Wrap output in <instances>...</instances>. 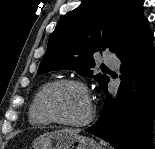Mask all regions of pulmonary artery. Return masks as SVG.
Instances as JSON below:
<instances>
[{
	"mask_svg": "<svg viewBox=\"0 0 155 149\" xmlns=\"http://www.w3.org/2000/svg\"><path fill=\"white\" fill-rule=\"evenodd\" d=\"M105 63L109 66H118L120 64V61L117 57L113 56V55H108L105 57Z\"/></svg>",
	"mask_w": 155,
	"mask_h": 149,
	"instance_id": "obj_1",
	"label": "pulmonary artery"
}]
</instances>
